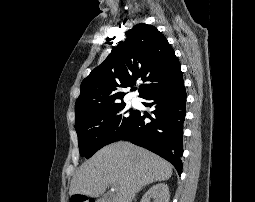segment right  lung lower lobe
<instances>
[{"label":"right lung lower lobe","instance_id":"98d812e1","mask_svg":"<svg viewBox=\"0 0 255 202\" xmlns=\"http://www.w3.org/2000/svg\"><path fill=\"white\" fill-rule=\"evenodd\" d=\"M186 97L182 78L168 87L148 94L144 99L150 102L144 105L155 109L152 112L154 118L138 112L134 123L120 140H129L158 154L171 162L180 175ZM145 117L152 121L145 123Z\"/></svg>","mask_w":255,"mask_h":202}]
</instances>
